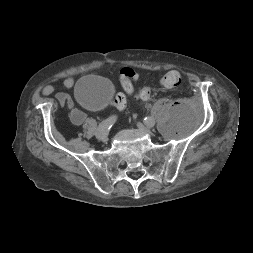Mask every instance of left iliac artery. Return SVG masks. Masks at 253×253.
Segmentation results:
<instances>
[{
	"instance_id": "44dca946",
	"label": "left iliac artery",
	"mask_w": 253,
	"mask_h": 253,
	"mask_svg": "<svg viewBox=\"0 0 253 253\" xmlns=\"http://www.w3.org/2000/svg\"><path fill=\"white\" fill-rule=\"evenodd\" d=\"M144 122L146 125L150 126V127H153L155 125V119L153 117H145L144 118Z\"/></svg>"
}]
</instances>
